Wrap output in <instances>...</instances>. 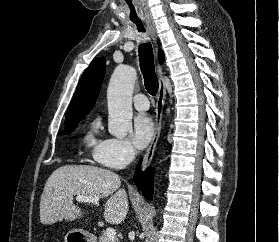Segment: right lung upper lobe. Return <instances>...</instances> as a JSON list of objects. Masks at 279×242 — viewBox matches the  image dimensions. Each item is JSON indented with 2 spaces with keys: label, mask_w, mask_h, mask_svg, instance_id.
<instances>
[{
  "label": "right lung upper lobe",
  "mask_w": 279,
  "mask_h": 242,
  "mask_svg": "<svg viewBox=\"0 0 279 242\" xmlns=\"http://www.w3.org/2000/svg\"><path fill=\"white\" fill-rule=\"evenodd\" d=\"M158 56L160 63H162L164 60L163 52L159 51ZM104 73L105 58L94 59L78 83L65 118V124L79 122L89 113L98 97Z\"/></svg>",
  "instance_id": "right-lung-upper-lobe-1"
}]
</instances>
